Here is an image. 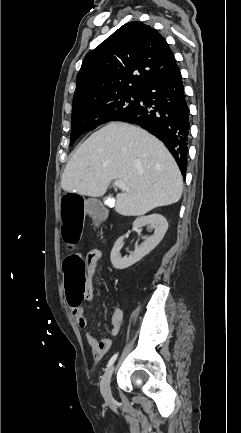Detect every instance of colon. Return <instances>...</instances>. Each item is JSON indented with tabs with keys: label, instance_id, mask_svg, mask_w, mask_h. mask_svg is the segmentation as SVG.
Wrapping results in <instances>:
<instances>
[{
	"label": "colon",
	"instance_id": "obj_1",
	"mask_svg": "<svg viewBox=\"0 0 241 433\" xmlns=\"http://www.w3.org/2000/svg\"><path fill=\"white\" fill-rule=\"evenodd\" d=\"M60 208L62 240L68 249L83 239V230L86 221L82 220V214H108V205H101L99 200H83V193L61 192ZM60 265L63 271L64 296L67 297L66 305H80L87 293V274L83 260L78 255L69 258H61Z\"/></svg>",
	"mask_w": 241,
	"mask_h": 433
}]
</instances>
